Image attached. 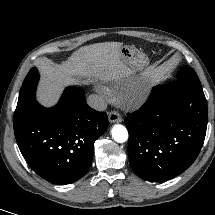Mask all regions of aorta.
<instances>
[{"instance_id": "aorta-1", "label": "aorta", "mask_w": 215, "mask_h": 215, "mask_svg": "<svg viewBox=\"0 0 215 215\" xmlns=\"http://www.w3.org/2000/svg\"><path fill=\"white\" fill-rule=\"evenodd\" d=\"M111 134L113 139L118 143H123L128 139V131L121 124L114 125L112 128Z\"/></svg>"}]
</instances>
